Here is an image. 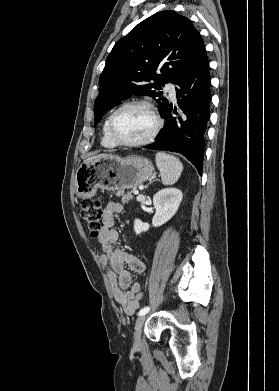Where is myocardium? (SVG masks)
I'll list each match as a JSON object with an SVG mask.
<instances>
[{
  "label": "myocardium",
  "instance_id": "1",
  "mask_svg": "<svg viewBox=\"0 0 279 391\" xmlns=\"http://www.w3.org/2000/svg\"><path fill=\"white\" fill-rule=\"evenodd\" d=\"M128 107H141L146 109L152 116L154 120V126L151 130V132L143 139L137 140V141H122L116 137L113 131L114 126V120L116 115L123 109ZM162 127V120L160 116L158 115L155 107L148 101L145 100H132L123 103L119 107H117L109 116L108 119V125H107V132L110 140L116 144L117 146H123V147H139L144 146L149 143H151L155 137L158 135L160 129Z\"/></svg>",
  "mask_w": 279,
  "mask_h": 391
}]
</instances>
